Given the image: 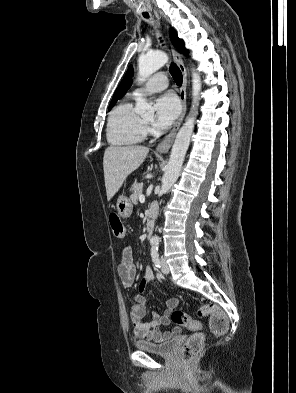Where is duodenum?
Masks as SVG:
<instances>
[{
	"label": "duodenum",
	"instance_id": "duodenum-1",
	"mask_svg": "<svg viewBox=\"0 0 296 393\" xmlns=\"http://www.w3.org/2000/svg\"><path fill=\"white\" fill-rule=\"evenodd\" d=\"M158 214V206L153 204L148 209V219H147V233L148 236H151L153 231V223Z\"/></svg>",
	"mask_w": 296,
	"mask_h": 393
}]
</instances>
